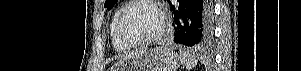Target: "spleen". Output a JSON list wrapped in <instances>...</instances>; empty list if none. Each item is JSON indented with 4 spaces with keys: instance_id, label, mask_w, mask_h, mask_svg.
Here are the masks:
<instances>
[{
    "instance_id": "3e777b00",
    "label": "spleen",
    "mask_w": 301,
    "mask_h": 71,
    "mask_svg": "<svg viewBox=\"0 0 301 71\" xmlns=\"http://www.w3.org/2000/svg\"><path fill=\"white\" fill-rule=\"evenodd\" d=\"M180 61L187 70L192 69L197 65L196 57L190 52L180 51Z\"/></svg>"
}]
</instances>
